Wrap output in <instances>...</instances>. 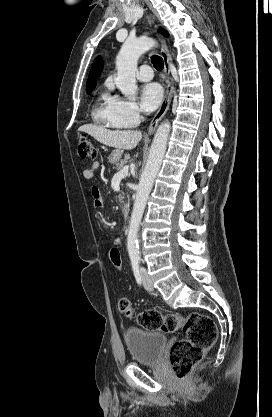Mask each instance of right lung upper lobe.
I'll use <instances>...</instances> for the list:
<instances>
[{"mask_svg": "<svg viewBox=\"0 0 272 417\" xmlns=\"http://www.w3.org/2000/svg\"><path fill=\"white\" fill-rule=\"evenodd\" d=\"M102 67H103V64H102L101 58L97 57L93 63L92 69L90 70L86 89L95 88V85H96L95 79L99 77Z\"/></svg>", "mask_w": 272, "mask_h": 417, "instance_id": "right-lung-upper-lobe-1", "label": "right lung upper lobe"}]
</instances>
